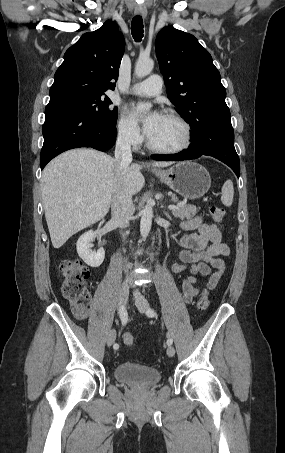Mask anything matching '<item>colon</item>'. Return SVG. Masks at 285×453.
<instances>
[{
  "mask_svg": "<svg viewBox=\"0 0 285 453\" xmlns=\"http://www.w3.org/2000/svg\"><path fill=\"white\" fill-rule=\"evenodd\" d=\"M212 219L221 223L224 217V210L217 206L210 208ZM59 271L63 276L61 286L62 295L70 304L72 311L78 317H84L88 313L91 305V295L87 288L89 272L87 267L79 259H64L59 264ZM209 306V292L203 290L200 294L196 307L198 311H205ZM126 346H133L135 341L131 334L123 336Z\"/></svg>",
  "mask_w": 285,
  "mask_h": 453,
  "instance_id": "1",
  "label": "colon"
}]
</instances>
